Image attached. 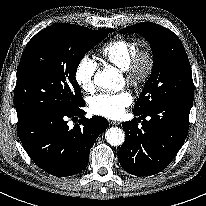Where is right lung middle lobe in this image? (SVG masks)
Wrapping results in <instances>:
<instances>
[{
  "label": "right lung middle lobe",
  "mask_w": 206,
  "mask_h": 206,
  "mask_svg": "<svg viewBox=\"0 0 206 206\" xmlns=\"http://www.w3.org/2000/svg\"><path fill=\"white\" fill-rule=\"evenodd\" d=\"M110 32L113 30L58 23L37 33L28 42L17 70L14 102L18 122L83 105L75 78L77 67L85 53Z\"/></svg>",
  "instance_id": "right-lung-middle-lobe-1"
}]
</instances>
